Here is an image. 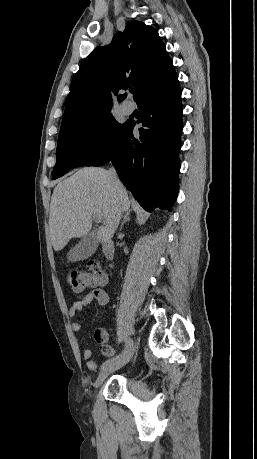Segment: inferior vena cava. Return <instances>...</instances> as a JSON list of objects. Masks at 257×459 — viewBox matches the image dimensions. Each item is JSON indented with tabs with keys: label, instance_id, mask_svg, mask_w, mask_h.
Returning a JSON list of instances; mask_svg holds the SVG:
<instances>
[{
	"label": "inferior vena cava",
	"instance_id": "1",
	"mask_svg": "<svg viewBox=\"0 0 257 459\" xmlns=\"http://www.w3.org/2000/svg\"><path fill=\"white\" fill-rule=\"evenodd\" d=\"M109 174H110V177H111V179H112L113 181L119 182V179H118L116 170H115L114 168H111V169H110Z\"/></svg>",
	"mask_w": 257,
	"mask_h": 459
}]
</instances>
